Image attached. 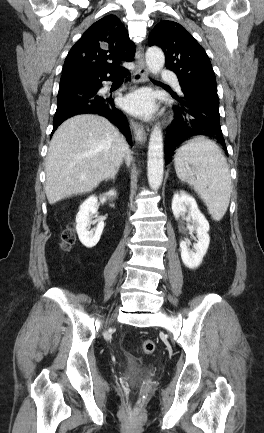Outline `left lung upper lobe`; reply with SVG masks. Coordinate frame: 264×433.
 Masks as SVG:
<instances>
[{"instance_id":"5c2ea615","label":"left lung upper lobe","mask_w":264,"mask_h":433,"mask_svg":"<svg viewBox=\"0 0 264 433\" xmlns=\"http://www.w3.org/2000/svg\"><path fill=\"white\" fill-rule=\"evenodd\" d=\"M149 45L163 49L166 66L177 74L181 88H206L217 92L209 57L182 25L161 21L151 31Z\"/></svg>"}]
</instances>
